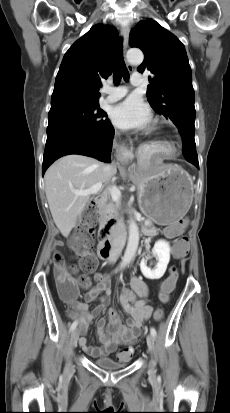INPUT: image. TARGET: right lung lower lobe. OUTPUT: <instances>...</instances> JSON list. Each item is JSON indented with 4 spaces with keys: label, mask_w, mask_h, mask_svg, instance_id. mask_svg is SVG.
I'll use <instances>...</instances> for the list:
<instances>
[{
    "label": "right lung lower lobe",
    "mask_w": 230,
    "mask_h": 413,
    "mask_svg": "<svg viewBox=\"0 0 230 413\" xmlns=\"http://www.w3.org/2000/svg\"><path fill=\"white\" fill-rule=\"evenodd\" d=\"M114 128L111 123L95 132H63L47 139L43 158L42 172L58 158L79 154L110 162Z\"/></svg>",
    "instance_id": "1"
}]
</instances>
